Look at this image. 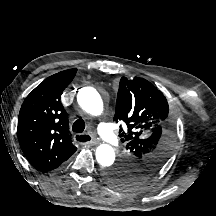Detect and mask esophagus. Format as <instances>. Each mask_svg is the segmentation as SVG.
<instances>
[{"label":"esophagus","instance_id":"obj_1","mask_svg":"<svg viewBox=\"0 0 216 216\" xmlns=\"http://www.w3.org/2000/svg\"><path fill=\"white\" fill-rule=\"evenodd\" d=\"M80 136H86L85 138L87 139V141L81 142V141L77 140V138L80 137ZM75 139H76L77 141L81 142V144H91V145H95V144L98 143V140L95 139V138H94L92 135H90V134H78V135L75 136Z\"/></svg>","mask_w":216,"mask_h":216}]
</instances>
